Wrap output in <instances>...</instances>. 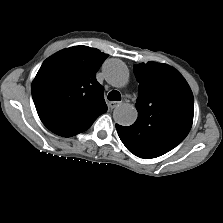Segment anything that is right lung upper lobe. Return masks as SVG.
Returning a JSON list of instances; mask_svg holds the SVG:
<instances>
[{
  "mask_svg": "<svg viewBox=\"0 0 223 223\" xmlns=\"http://www.w3.org/2000/svg\"><path fill=\"white\" fill-rule=\"evenodd\" d=\"M107 56L95 48L74 46L43 62L31 89L37 113L50 131L74 136L107 111L95 76Z\"/></svg>",
  "mask_w": 223,
  "mask_h": 223,
  "instance_id": "cb5924a9",
  "label": "right lung upper lobe"
}]
</instances>
